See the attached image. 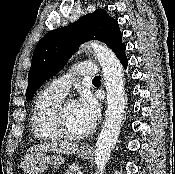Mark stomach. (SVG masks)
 <instances>
[{"mask_svg": "<svg viewBox=\"0 0 175 174\" xmlns=\"http://www.w3.org/2000/svg\"><path fill=\"white\" fill-rule=\"evenodd\" d=\"M82 159H88L91 155L89 150L80 148L78 151ZM64 163L60 154L48 155L45 152H37L27 155L22 162V169L26 174H42L48 165L58 166Z\"/></svg>", "mask_w": 175, "mask_h": 174, "instance_id": "1", "label": "stomach"}]
</instances>
